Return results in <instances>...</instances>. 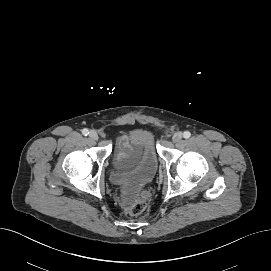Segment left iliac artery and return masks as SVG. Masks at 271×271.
<instances>
[{
	"instance_id": "obj_1",
	"label": "left iliac artery",
	"mask_w": 271,
	"mask_h": 271,
	"mask_svg": "<svg viewBox=\"0 0 271 271\" xmlns=\"http://www.w3.org/2000/svg\"><path fill=\"white\" fill-rule=\"evenodd\" d=\"M190 136H191V133L189 131H185L183 133V137L186 138V139L190 138Z\"/></svg>"
}]
</instances>
